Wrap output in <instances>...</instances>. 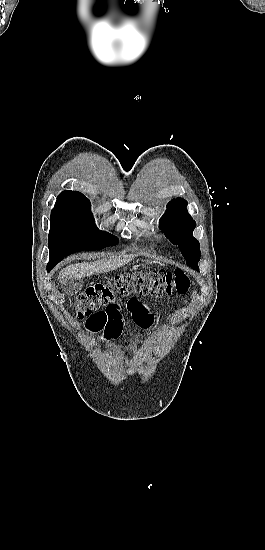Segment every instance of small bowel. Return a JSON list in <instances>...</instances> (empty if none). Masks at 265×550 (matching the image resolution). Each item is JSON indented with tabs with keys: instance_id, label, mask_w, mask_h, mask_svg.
<instances>
[{
	"instance_id": "1",
	"label": "small bowel",
	"mask_w": 265,
	"mask_h": 550,
	"mask_svg": "<svg viewBox=\"0 0 265 550\" xmlns=\"http://www.w3.org/2000/svg\"><path fill=\"white\" fill-rule=\"evenodd\" d=\"M136 299H130V301H135ZM131 314L134 315V314H140L143 319L147 320L150 318V311H149V308L148 306L145 304V303H142L140 302V305L137 306L136 308H134L132 311H131ZM119 321V319H118ZM150 326L148 327H145L143 329H148ZM121 333V328H117V334H114V335H111L112 337L116 338L119 336V334ZM135 337H136V343H139L142 339V333L141 331L139 330H136L135 331Z\"/></svg>"
}]
</instances>
